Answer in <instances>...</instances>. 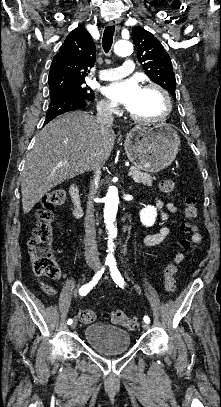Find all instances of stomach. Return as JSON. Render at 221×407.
<instances>
[{
    "label": "stomach",
    "instance_id": "1",
    "mask_svg": "<svg viewBox=\"0 0 221 407\" xmlns=\"http://www.w3.org/2000/svg\"><path fill=\"white\" fill-rule=\"evenodd\" d=\"M180 146L177 132L168 124L136 125L126 135L128 159L145 172L157 173L175 159Z\"/></svg>",
    "mask_w": 221,
    "mask_h": 407
}]
</instances>
